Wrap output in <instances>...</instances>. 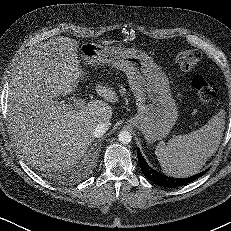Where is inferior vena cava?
Segmentation results:
<instances>
[{"label":"inferior vena cava","instance_id":"inferior-vena-cava-1","mask_svg":"<svg viewBox=\"0 0 231 231\" xmlns=\"http://www.w3.org/2000/svg\"><path fill=\"white\" fill-rule=\"evenodd\" d=\"M111 123L110 122H102L96 125L94 135L96 138L102 137L107 130L109 129Z\"/></svg>","mask_w":231,"mask_h":231}]
</instances>
